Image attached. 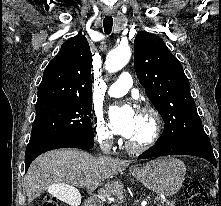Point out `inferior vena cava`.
I'll use <instances>...</instances> for the list:
<instances>
[{
  "mask_svg": "<svg viewBox=\"0 0 221 206\" xmlns=\"http://www.w3.org/2000/svg\"><path fill=\"white\" fill-rule=\"evenodd\" d=\"M112 147V141L106 140L103 144H101V149L105 154H109Z\"/></svg>",
  "mask_w": 221,
  "mask_h": 206,
  "instance_id": "1",
  "label": "inferior vena cava"
}]
</instances>
